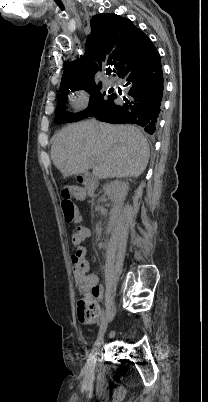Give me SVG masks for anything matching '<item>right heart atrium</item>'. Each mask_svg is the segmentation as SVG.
I'll return each instance as SVG.
<instances>
[{"label": "right heart atrium", "mask_w": 208, "mask_h": 402, "mask_svg": "<svg viewBox=\"0 0 208 402\" xmlns=\"http://www.w3.org/2000/svg\"><path fill=\"white\" fill-rule=\"evenodd\" d=\"M91 96H92L91 89L86 86H82L77 88L74 92H72L69 98L72 107L75 110H80L86 107Z\"/></svg>", "instance_id": "1"}]
</instances>
